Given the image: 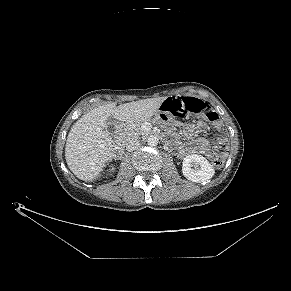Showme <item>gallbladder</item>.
Masks as SVG:
<instances>
[{
    "mask_svg": "<svg viewBox=\"0 0 291 291\" xmlns=\"http://www.w3.org/2000/svg\"><path fill=\"white\" fill-rule=\"evenodd\" d=\"M118 122L113 119H109L107 122V131L110 136H114L115 130L117 128Z\"/></svg>",
    "mask_w": 291,
    "mask_h": 291,
    "instance_id": "bac80fb5",
    "label": "gallbladder"
}]
</instances>
